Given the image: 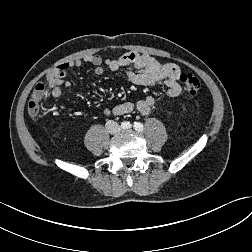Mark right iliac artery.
Instances as JSON below:
<instances>
[{
    "label": "right iliac artery",
    "instance_id": "obj_1",
    "mask_svg": "<svg viewBox=\"0 0 252 252\" xmlns=\"http://www.w3.org/2000/svg\"><path fill=\"white\" fill-rule=\"evenodd\" d=\"M122 127L123 128H130L131 127V124L129 122H123L122 123Z\"/></svg>",
    "mask_w": 252,
    "mask_h": 252
}]
</instances>
